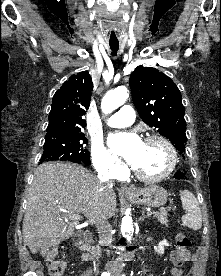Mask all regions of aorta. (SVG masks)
<instances>
[{
    "instance_id": "762f6f07",
    "label": "aorta",
    "mask_w": 221,
    "mask_h": 276,
    "mask_svg": "<svg viewBox=\"0 0 221 276\" xmlns=\"http://www.w3.org/2000/svg\"><path fill=\"white\" fill-rule=\"evenodd\" d=\"M129 97L128 90L126 87H119L112 91H109L102 99L101 109L103 113L108 114L120 107L125 103ZM133 231L132 219L128 216L123 217L121 223V232L124 237L130 241L131 233Z\"/></svg>"
}]
</instances>
